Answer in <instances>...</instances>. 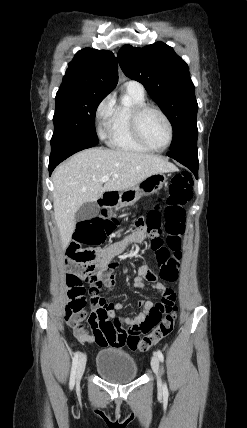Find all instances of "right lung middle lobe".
I'll use <instances>...</instances> for the list:
<instances>
[{
  "instance_id": "right-lung-middle-lobe-1",
  "label": "right lung middle lobe",
  "mask_w": 247,
  "mask_h": 428,
  "mask_svg": "<svg viewBox=\"0 0 247 428\" xmlns=\"http://www.w3.org/2000/svg\"><path fill=\"white\" fill-rule=\"evenodd\" d=\"M105 97L90 92L57 94L51 147L63 144L97 145L95 114Z\"/></svg>"
}]
</instances>
